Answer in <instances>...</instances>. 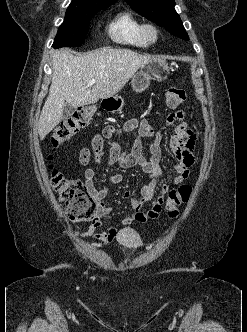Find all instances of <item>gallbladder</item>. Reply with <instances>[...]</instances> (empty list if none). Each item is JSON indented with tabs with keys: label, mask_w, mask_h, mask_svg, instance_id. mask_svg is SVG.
Masks as SVG:
<instances>
[{
	"label": "gallbladder",
	"mask_w": 247,
	"mask_h": 332,
	"mask_svg": "<svg viewBox=\"0 0 247 332\" xmlns=\"http://www.w3.org/2000/svg\"><path fill=\"white\" fill-rule=\"evenodd\" d=\"M75 111V108L69 104H65L64 108H63V113L62 116L63 118H67L69 116H71Z\"/></svg>",
	"instance_id": "obj_1"
}]
</instances>
